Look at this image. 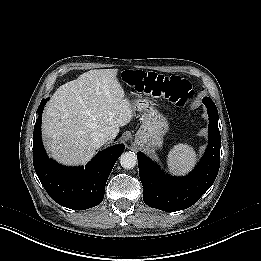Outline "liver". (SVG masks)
<instances>
[{"label": "liver", "instance_id": "liver-1", "mask_svg": "<svg viewBox=\"0 0 261 261\" xmlns=\"http://www.w3.org/2000/svg\"><path fill=\"white\" fill-rule=\"evenodd\" d=\"M118 69L90 70L60 86L42 118V136L50 156L66 165L86 164L96 153L95 133L112 142L133 117L116 75Z\"/></svg>", "mask_w": 261, "mask_h": 261}]
</instances>
